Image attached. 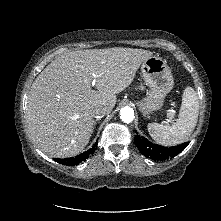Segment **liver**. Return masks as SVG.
<instances>
[{"label": "liver", "instance_id": "obj_1", "mask_svg": "<svg viewBox=\"0 0 221 221\" xmlns=\"http://www.w3.org/2000/svg\"><path fill=\"white\" fill-rule=\"evenodd\" d=\"M152 55L143 49L115 47L58 56L38 75L28 94L26 123L32 140L51 157L82 152L94 128L90 110L103 106L110 113L116 94L133 82L140 65Z\"/></svg>", "mask_w": 221, "mask_h": 221}]
</instances>
